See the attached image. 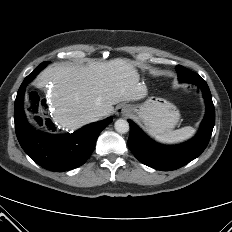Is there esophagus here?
Listing matches in <instances>:
<instances>
[{
  "label": "esophagus",
  "instance_id": "1",
  "mask_svg": "<svg viewBox=\"0 0 232 232\" xmlns=\"http://www.w3.org/2000/svg\"><path fill=\"white\" fill-rule=\"evenodd\" d=\"M130 110L126 106H120L117 108V114L128 115Z\"/></svg>",
  "mask_w": 232,
  "mask_h": 232
}]
</instances>
